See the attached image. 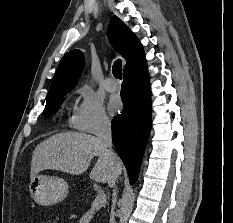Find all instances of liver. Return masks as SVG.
<instances>
[{
    "instance_id": "6515ba94",
    "label": "liver",
    "mask_w": 233,
    "mask_h": 223,
    "mask_svg": "<svg viewBox=\"0 0 233 223\" xmlns=\"http://www.w3.org/2000/svg\"><path fill=\"white\" fill-rule=\"evenodd\" d=\"M105 149L106 147L99 143L98 137L90 133L77 131L55 133L35 147L30 175L34 177L43 169H58L71 175H79L87 171L93 157H98L89 173L90 179L113 185L122 173V165L119 157L115 165H109L110 159Z\"/></svg>"
}]
</instances>
